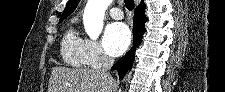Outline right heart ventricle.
<instances>
[{
	"instance_id": "obj_1",
	"label": "right heart ventricle",
	"mask_w": 225,
	"mask_h": 92,
	"mask_svg": "<svg viewBox=\"0 0 225 92\" xmlns=\"http://www.w3.org/2000/svg\"><path fill=\"white\" fill-rule=\"evenodd\" d=\"M60 50L67 64L74 67L84 64V40L76 34L74 28L70 27L64 34Z\"/></svg>"
}]
</instances>
